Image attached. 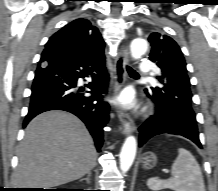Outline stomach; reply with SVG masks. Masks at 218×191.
Here are the masks:
<instances>
[{"instance_id": "1", "label": "stomach", "mask_w": 218, "mask_h": 191, "mask_svg": "<svg viewBox=\"0 0 218 191\" xmlns=\"http://www.w3.org/2000/svg\"><path fill=\"white\" fill-rule=\"evenodd\" d=\"M157 156L153 152H146L142 155L140 163L145 170L154 168L157 164Z\"/></svg>"}]
</instances>
